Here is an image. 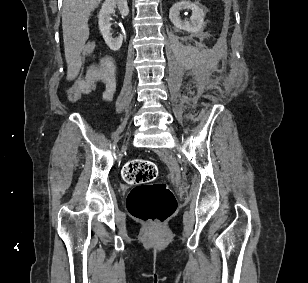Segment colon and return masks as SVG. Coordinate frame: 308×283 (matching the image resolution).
<instances>
[{"label":"colon","mask_w":308,"mask_h":283,"mask_svg":"<svg viewBox=\"0 0 308 283\" xmlns=\"http://www.w3.org/2000/svg\"><path fill=\"white\" fill-rule=\"evenodd\" d=\"M96 44L88 41L81 51L82 65L76 75L74 85L68 90L71 101H77L83 93L88 92L84 83L88 59L95 52ZM154 162L144 159L128 161L122 170L124 181L134 187L127 198L130 214L153 225L164 223L171 217L176 208V199L171 189L164 183H152L157 176Z\"/></svg>","instance_id":"colon-1"}]
</instances>
